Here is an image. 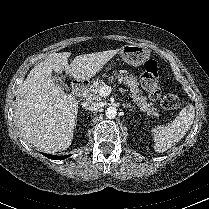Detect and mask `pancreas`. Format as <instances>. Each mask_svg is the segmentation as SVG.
I'll use <instances>...</instances> for the list:
<instances>
[{
  "mask_svg": "<svg viewBox=\"0 0 209 209\" xmlns=\"http://www.w3.org/2000/svg\"><path fill=\"white\" fill-rule=\"evenodd\" d=\"M114 74L115 77L119 79V82H122L130 89L131 98L141 111L152 117L159 116L153 104L147 103V98L143 96L141 91L138 89L137 79L133 75H129V72L126 70H121L119 73L115 72ZM104 85L105 83L103 80L94 81L93 84L84 91V97H86L88 101L101 100L102 96L99 94V91Z\"/></svg>",
  "mask_w": 209,
  "mask_h": 209,
  "instance_id": "cf45deb5",
  "label": "pancreas"
}]
</instances>
